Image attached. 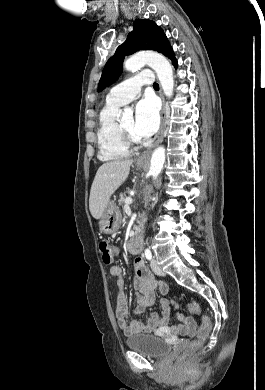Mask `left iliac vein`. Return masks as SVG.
Returning <instances> with one entry per match:
<instances>
[{"label":"left iliac vein","instance_id":"4c4485c4","mask_svg":"<svg viewBox=\"0 0 265 390\" xmlns=\"http://www.w3.org/2000/svg\"><path fill=\"white\" fill-rule=\"evenodd\" d=\"M151 268L153 272L157 275L163 276L165 274L154 258L151 260Z\"/></svg>","mask_w":265,"mask_h":390}]
</instances>
